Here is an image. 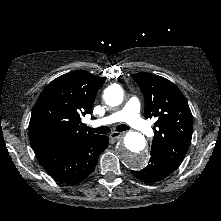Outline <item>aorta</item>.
I'll return each mask as SVG.
<instances>
[{
	"instance_id": "1",
	"label": "aorta",
	"mask_w": 221,
	"mask_h": 221,
	"mask_svg": "<svg viewBox=\"0 0 221 221\" xmlns=\"http://www.w3.org/2000/svg\"><path fill=\"white\" fill-rule=\"evenodd\" d=\"M104 99L109 106H118L123 102V91L118 85H112L104 91ZM146 143L142 134L129 131L117 153L120 161L129 169L139 170L147 163Z\"/></svg>"
}]
</instances>
